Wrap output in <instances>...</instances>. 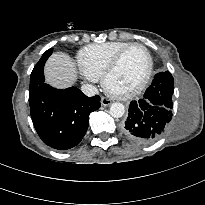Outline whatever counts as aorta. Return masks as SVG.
Returning <instances> with one entry per match:
<instances>
[{
	"mask_svg": "<svg viewBox=\"0 0 205 205\" xmlns=\"http://www.w3.org/2000/svg\"><path fill=\"white\" fill-rule=\"evenodd\" d=\"M109 113L114 118H120L125 114V107L122 103L114 102L110 105Z\"/></svg>",
	"mask_w": 205,
	"mask_h": 205,
	"instance_id": "762f6f07",
	"label": "aorta"
}]
</instances>
